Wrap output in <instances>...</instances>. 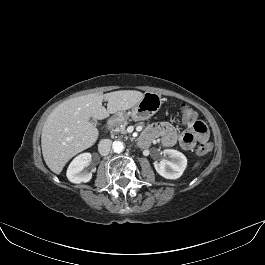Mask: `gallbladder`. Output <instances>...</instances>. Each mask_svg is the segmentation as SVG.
Wrapping results in <instances>:
<instances>
[{
  "mask_svg": "<svg viewBox=\"0 0 265 265\" xmlns=\"http://www.w3.org/2000/svg\"><path fill=\"white\" fill-rule=\"evenodd\" d=\"M90 122L94 125V126H96L98 123H97V121L95 120V119H90Z\"/></svg>",
  "mask_w": 265,
  "mask_h": 265,
  "instance_id": "obj_1",
  "label": "gallbladder"
}]
</instances>
